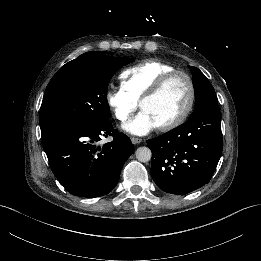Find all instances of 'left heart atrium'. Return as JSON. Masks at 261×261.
I'll return each mask as SVG.
<instances>
[{"label": "left heart atrium", "instance_id": "obj_1", "mask_svg": "<svg viewBox=\"0 0 261 261\" xmlns=\"http://www.w3.org/2000/svg\"><path fill=\"white\" fill-rule=\"evenodd\" d=\"M157 128V123L148 112L142 110L138 115L125 125L124 129L137 136H143Z\"/></svg>", "mask_w": 261, "mask_h": 261}]
</instances>
